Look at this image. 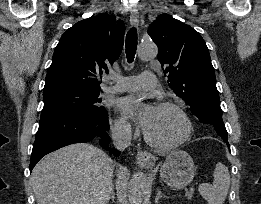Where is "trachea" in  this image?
Listing matches in <instances>:
<instances>
[{"label": "trachea", "instance_id": "3493384b", "mask_svg": "<svg viewBox=\"0 0 261 204\" xmlns=\"http://www.w3.org/2000/svg\"><path fill=\"white\" fill-rule=\"evenodd\" d=\"M126 57L132 63L137 50V29L131 28L126 35Z\"/></svg>", "mask_w": 261, "mask_h": 204}]
</instances>
